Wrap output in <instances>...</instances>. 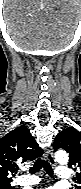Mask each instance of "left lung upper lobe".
I'll list each match as a JSON object with an SVG mask.
<instances>
[{"label": "left lung upper lobe", "instance_id": "obj_1", "mask_svg": "<svg viewBox=\"0 0 81 189\" xmlns=\"http://www.w3.org/2000/svg\"><path fill=\"white\" fill-rule=\"evenodd\" d=\"M55 150L64 149L70 155L68 166L73 168L76 173L73 181L75 189H81V132L73 127H68L58 133L53 143Z\"/></svg>", "mask_w": 81, "mask_h": 189}]
</instances>
